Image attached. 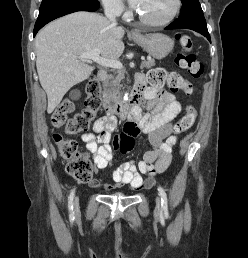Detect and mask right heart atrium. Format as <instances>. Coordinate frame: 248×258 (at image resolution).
Instances as JSON below:
<instances>
[{
	"label": "right heart atrium",
	"instance_id": "right-heart-atrium-1",
	"mask_svg": "<svg viewBox=\"0 0 248 258\" xmlns=\"http://www.w3.org/2000/svg\"><path fill=\"white\" fill-rule=\"evenodd\" d=\"M106 12L119 16L125 13V6L122 0H101Z\"/></svg>",
	"mask_w": 248,
	"mask_h": 258
}]
</instances>
